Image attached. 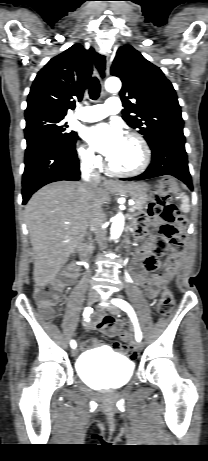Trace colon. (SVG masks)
<instances>
[{"label":"colon","instance_id":"colon-1","mask_svg":"<svg viewBox=\"0 0 208 461\" xmlns=\"http://www.w3.org/2000/svg\"><path fill=\"white\" fill-rule=\"evenodd\" d=\"M176 189L177 183L173 178H164L160 181L157 188L152 192V201L148 208L152 218L167 224L184 222V218L180 215L177 206L171 200L172 194ZM183 244L184 242H182L181 248ZM172 272L173 266H169L168 273L171 274ZM63 283L57 280L36 287L34 298L45 314L49 316L54 315ZM174 305L175 301L172 292L168 289H163L158 302V313L161 316L167 317L172 313ZM121 344L123 352L131 360L138 358L137 349L133 348L130 343H123L122 341Z\"/></svg>","mask_w":208,"mask_h":461}]
</instances>
